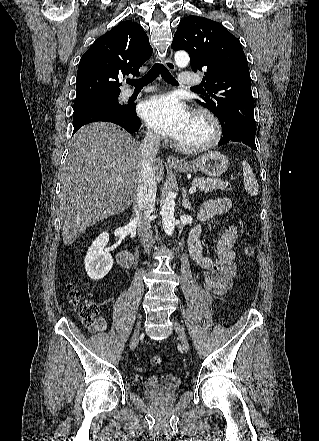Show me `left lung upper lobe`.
<instances>
[{
    "mask_svg": "<svg viewBox=\"0 0 319 441\" xmlns=\"http://www.w3.org/2000/svg\"><path fill=\"white\" fill-rule=\"evenodd\" d=\"M171 47L189 53L194 72L206 70L208 94L197 102L216 115L222 130L234 122L256 127L248 63L236 37L218 22L191 15L180 22Z\"/></svg>",
    "mask_w": 319,
    "mask_h": 441,
    "instance_id": "left-lung-upper-lobe-1",
    "label": "left lung upper lobe"
}]
</instances>
